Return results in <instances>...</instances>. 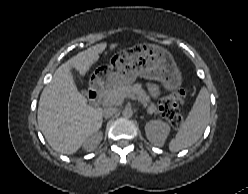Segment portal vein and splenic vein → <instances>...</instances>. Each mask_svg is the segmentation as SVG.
Instances as JSON below:
<instances>
[{"label":"portal vein and splenic vein","instance_id":"18ae733b","mask_svg":"<svg viewBox=\"0 0 248 194\" xmlns=\"http://www.w3.org/2000/svg\"><path fill=\"white\" fill-rule=\"evenodd\" d=\"M125 97H129V98H132V99H135V96L134 95H132V94H128V95H123V98H125Z\"/></svg>","mask_w":248,"mask_h":194}]
</instances>
